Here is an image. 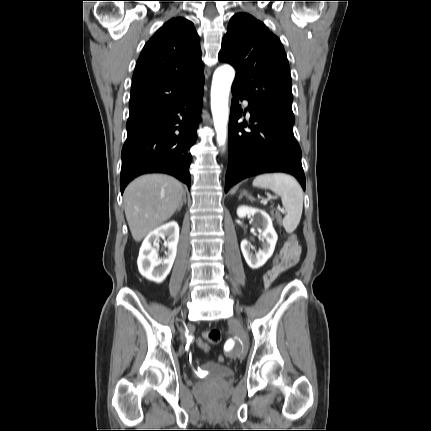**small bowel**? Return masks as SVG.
<instances>
[{
    "label": "small bowel",
    "instance_id": "c3829d8e",
    "mask_svg": "<svg viewBox=\"0 0 431 431\" xmlns=\"http://www.w3.org/2000/svg\"><path fill=\"white\" fill-rule=\"evenodd\" d=\"M302 243L303 238L301 236H294L293 240H288L286 244H283L281 250L282 256H280V259H277V263H271L269 270L264 275L263 282L266 289L271 286L281 273L297 264L301 255V247L299 245Z\"/></svg>",
    "mask_w": 431,
    "mask_h": 431
}]
</instances>
